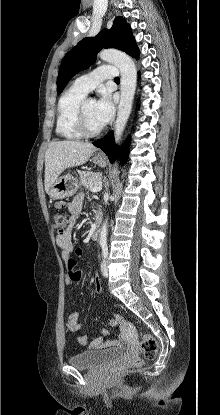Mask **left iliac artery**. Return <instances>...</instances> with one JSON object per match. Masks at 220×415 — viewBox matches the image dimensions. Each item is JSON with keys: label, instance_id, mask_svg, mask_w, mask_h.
Instances as JSON below:
<instances>
[{"label": "left iliac artery", "instance_id": "obj_1", "mask_svg": "<svg viewBox=\"0 0 220 415\" xmlns=\"http://www.w3.org/2000/svg\"><path fill=\"white\" fill-rule=\"evenodd\" d=\"M101 248H102V255H103V257H104V258H106V257H107V255H108V247H107V245L104 243V244H102V245H101Z\"/></svg>", "mask_w": 220, "mask_h": 415}]
</instances>
